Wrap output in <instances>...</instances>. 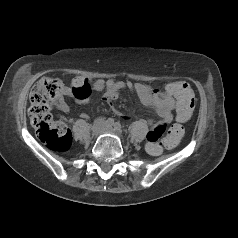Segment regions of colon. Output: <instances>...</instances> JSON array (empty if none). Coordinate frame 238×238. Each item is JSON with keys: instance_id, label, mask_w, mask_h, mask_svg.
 Returning <instances> with one entry per match:
<instances>
[{"instance_id": "1", "label": "colon", "mask_w": 238, "mask_h": 238, "mask_svg": "<svg viewBox=\"0 0 238 238\" xmlns=\"http://www.w3.org/2000/svg\"><path fill=\"white\" fill-rule=\"evenodd\" d=\"M64 91V85L60 80L48 77L41 78L31 90L28 111L30 122L36 129L39 138L52 149L58 151L66 150L71 142V134L66 125L53 121L51 113L53 103L63 95ZM172 92L176 95L178 106L174 118L177 123L181 124L186 121V118L189 119L193 112L195 106L194 94L185 82H181ZM164 133L165 126H156L150 130L147 134L148 153L158 155L161 152L162 146L159 140ZM183 133L182 126L173 125L162 141L163 146L166 148L176 146Z\"/></svg>"}]
</instances>
